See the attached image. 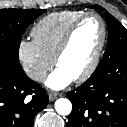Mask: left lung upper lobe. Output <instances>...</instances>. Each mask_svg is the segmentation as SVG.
Here are the masks:
<instances>
[{"label": "left lung upper lobe", "instance_id": "left-lung-upper-lobe-1", "mask_svg": "<svg viewBox=\"0 0 127 127\" xmlns=\"http://www.w3.org/2000/svg\"><path fill=\"white\" fill-rule=\"evenodd\" d=\"M89 8L104 10L98 5L89 6ZM108 25V43L103 59L99 64L108 61L120 51H127V29L119 23L111 14L105 13Z\"/></svg>", "mask_w": 127, "mask_h": 127}]
</instances>
